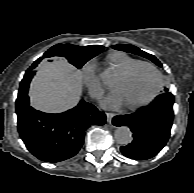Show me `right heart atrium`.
<instances>
[{"mask_svg": "<svg viewBox=\"0 0 194 193\" xmlns=\"http://www.w3.org/2000/svg\"><path fill=\"white\" fill-rule=\"evenodd\" d=\"M82 74L90 94L95 98H99L102 95L104 89L97 74L95 64L92 61L86 62L82 66Z\"/></svg>", "mask_w": 194, "mask_h": 193, "instance_id": "d8ad5b80", "label": "right heart atrium"}]
</instances>
